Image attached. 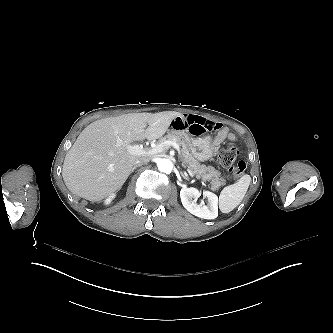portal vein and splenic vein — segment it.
Here are the masks:
<instances>
[{
	"label": "portal vein and splenic vein",
	"instance_id": "18ae733b",
	"mask_svg": "<svg viewBox=\"0 0 333 333\" xmlns=\"http://www.w3.org/2000/svg\"><path fill=\"white\" fill-rule=\"evenodd\" d=\"M170 146L177 151L179 156L181 155V146L175 141H164L162 143L155 145L150 149L144 148L143 145L136 144L133 146H128V151L136 156H154L156 154L161 153ZM186 170L190 175V177L193 178L194 177L193 171L189 167H187Z\"/></svg>",
	"mask_w": 333,
	"mask_h": 333
}]
</instances>
